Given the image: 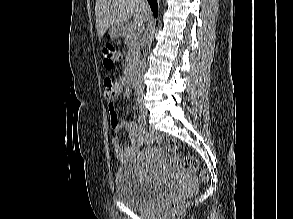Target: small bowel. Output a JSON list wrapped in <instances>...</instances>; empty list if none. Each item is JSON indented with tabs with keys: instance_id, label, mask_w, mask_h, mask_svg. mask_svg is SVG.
I'll return each instance as SVG.
<instances>
[{
	"instance_id": "c3829d8e",
	"label": "small bowel",
	"mask_w": 293,
	"mask_h": 219,
	"mask_svg": "<svg viewBox=\"0 0 293 219\" xmlns=\"http://www.w3.org/2000/svg\"><path fill=\"white\" fill-rule=\"evenodd\" d=\"M105 95L108 102V110L110 113V123L114 131L125 130L128 134L130 142L122 146L118 137H114L113 145L116 157L121 163H128L137 160L140 147L149 142V135L144 127L134 121H127L120 118L115 111V101L119 94L130 98L131 91L126 86L125 78L112 81L109 78L104 79Z\"/></svg>"
}]
</instances>
